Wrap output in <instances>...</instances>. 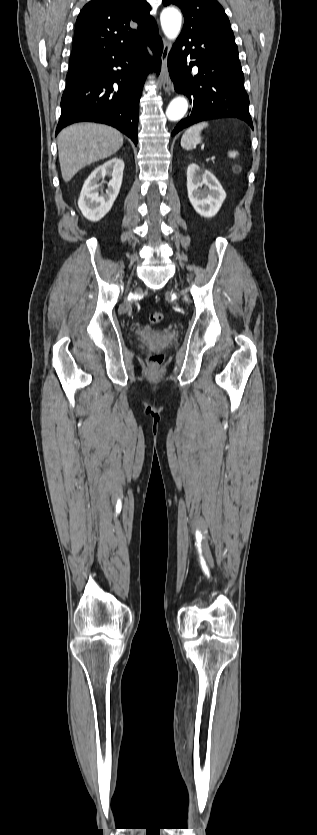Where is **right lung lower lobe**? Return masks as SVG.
I'll list each match as a JSON object with an SVG mask.
<instances>
[{"label":"right lung lower lobe","instance_id":"98d812e1","mask_svg":"<svg viewBox=\"0 0 317 835\" xmlns=\"http://www.w3.org/2000/svg\"><path fill=\"white\" fill-rule=\"evenodd\" d=\"M146 45L154 52L147 53ZM162 40L158 29L116 51L73 52L56 135L76 122L113 126L137 144L139 100L150 70L160 69Z\"/></svg>","mask_w":317,"mask_h":835}]
</instances>
